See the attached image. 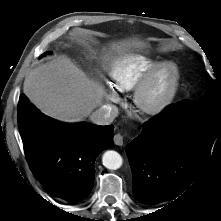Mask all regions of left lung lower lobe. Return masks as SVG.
Segmentation results:
<instances>
[{
    "instance_id": "obj_1",
    "label": "left lung lower lobe",
    "mask_w": 221,
    "mask_h": 221,
    "mask_svg": "<svg viewBox=\"0 0 221 221\" xmlns=\"http://www.w3.org/2000/svg\"><path fill=\"white\" fill-rule=\"evenodd\" d=\"M177 104L144 123L141 134L126 146L133 194L145 204L174 196L205 167L221 125L177 118Z\"/></svg>"
}]
</instances>
